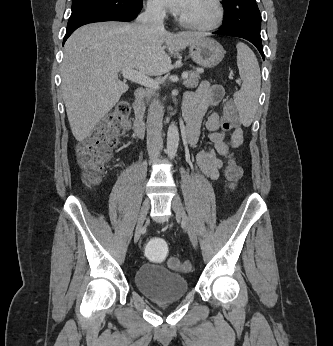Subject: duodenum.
Segmentation results:
<instances>
[{
    "label": "duodenum",
    "mask_w": 333,
    "mask_h": 346,
    "mask_svg": "<svg viewBox=\"0 0 333 346\" xmlns=\"http://www.w3.org/2000/svg\"><path fill=\"white\" fill-rule=\"evenodd\" d=\"M145 90L137 88L134 91V115H133V131L137 137H143L145 134V123L143 120L144 106L143 100L145 98Z\"/></svg>",
    "instance_id": "obj_1"
}]
</instances>
